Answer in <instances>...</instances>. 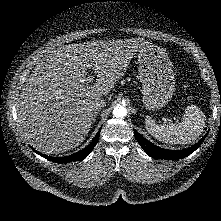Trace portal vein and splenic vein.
I'll use <instances>...</instances> for the list:
<instances>
[{
  "instance_id": "1",
  "label": "portal vein and splenic vein",
  "mask_w": 221,
  "mask_h": 221,
  "mask_svg": "<svg viewBox=\"0 0 221 221\" xmlns=\"http://www.w3.org/2000/svg\"><path fill=\"white\" fill-rule=\"evenodd\" d=\"M92 80H93V77H92V76H89V77L85 80V82H86V83H90ZM163 120H164V121H167L166 118H163Z\"/></svg>"
}]
</instances>
